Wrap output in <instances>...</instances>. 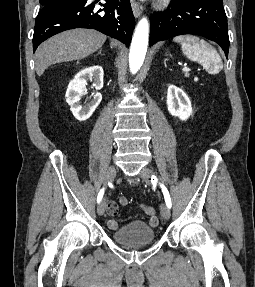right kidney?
I'll list each match as a JSON object with an SVG mask.
<instances>
[{
    "instance_id": "obj_1",
    "label": "right kidney",
    "mask_w": 255,
    "mask_h": 287,
    "mask_svg": "<svg viewBox=\"0 0 255 287\" xmlns=\"http://www.w3.org/2000/svg\"><path fill=\"white\" fill-rule=\"evenodd\" d=\"M103 78L104 72L101 66H91V68H84V70L78 72L74 76V80H71L65 98L73 116L79 122L88 120L102 100L101 94L96 92V94H92V102L85 104V106H80V96L86 92L87 80L93 82L92 86H94L95 90H101L103 88Z\"/></svg>"
}]
</instances>
